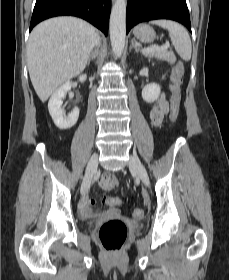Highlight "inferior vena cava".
I'll list each match as a JSON object with an SVG mask.
<instances>
[{
	"mask_svg": "<svg viewBox=\"0 0 229 280\" xmlns=\"http://www.w3.org/2000/svg\"><path fill=\"white\" fill-rule=\"evenodd\" d=\"M100 43L99 41V37L97 35H95V38H94V45L98 46Z\"/></svg>",
	"mask_w": 229,
	"mask_h": 280,
	"instance_id": "inferior-vena-cava-1",
	"label": "inferior vena cava"
}]
</instances>
